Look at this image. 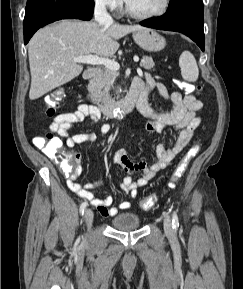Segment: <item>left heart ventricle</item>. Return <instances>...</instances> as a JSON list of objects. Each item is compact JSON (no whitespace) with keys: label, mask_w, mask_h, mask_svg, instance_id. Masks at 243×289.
<instances>
[{"label":"left heart ventricle","mask_w":243,"mask_h":289,"mask_svg":"<svg viewBox=\"0 0 243 289\" xmlns=\"http://www.w3.org/2000/svg\"><path fill=\"white\" fill-rule=\"evenodd\" d=\"M131 10L136 13L146 14L157 11L163 0H126Z\"/></svg>","instance_id":"b2bd125f"}]
</instances>
